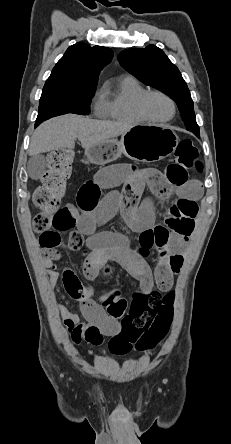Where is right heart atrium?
I'll return each mask as SVG.
<instances>
[{"label": "right heart atrium", "mask_w": 231, "mask_h": 444, "mask_svg": "<svg viewBox=\"0 0 231 444\" xmlns=\"http://www.w3.org/2000/svg\"><path fill=\"white\" fill-rule=\"evenodd\" d=\"M106 104H107V98L105 95V90L104 88H101L96 92L92 100V107L94 113L98 116H103L106 110Z\"/></svg>", "instance_id": "d8ad5b80"}]
</instances>
